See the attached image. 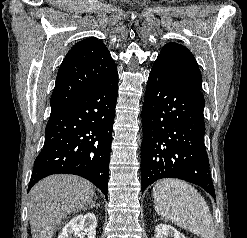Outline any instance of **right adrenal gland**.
Returning <instances> with one entry per match:
<instances>
[{"label":"right adrenal gland","mask_w":247,"mask_h":238,"mask_svg":"<svg viewBox=\"0 0 247 238\" xmlns=\"http://www.w3.org/2000/svg\"><path fill=\"white\" fill-rule=\"evenodd\" d=\"M95 202H96V197H95L94 201H92L91 205L88 208L89 209H92L93 207L97 208V206L95 205Z\"/></svg>","instance_id":"2a0ac1e0"}]
</instances>
